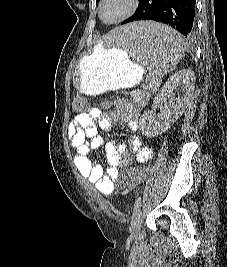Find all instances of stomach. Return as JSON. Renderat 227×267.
Returning <instances> with one entry per match:
<instances>
[{"label": "stomach", "instance_id": "stomach-1", "mask_svg": "<svg viewBox=\"0 0 227 267\" xmlns=\"http://www.w3.org/2000/svg\"><path fill=\"white\" fill-rule=\"evenodd\" d=\"M143 65L140 59L119 55V47H95L91 55L80 59L73 83L80 92L96 95L135 84L141 77Z\"/></svg>", "mask_w": 227, "mask_h": 267}]
</instances>
